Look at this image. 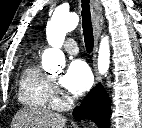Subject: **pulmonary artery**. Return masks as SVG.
Instances as JSON below:
<instances>
[{"label":"pulmonary artery","instance_id":"e3ab8cb5","mask_svg":"<svg viewBox=\"0 0 142 128\" xmlns=\"http://www.w3.org/2000/svg\"><path fill=\"white\" fill-rule=\"evenodd\" d=\"M63 48L67 53L72 54V55L77 54L79 51L78 45L76 41L73 39L66 40Z\"/></svg>","mask_w":142,"mask_h":128}]
</instances>
